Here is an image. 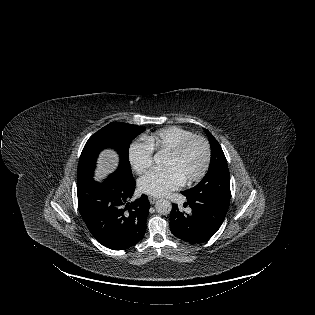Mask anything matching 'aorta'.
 Returning <instances> with one entry per match:
<instances>
[{
	"label": "aorta",
	"mask_w": 315,
	"mask_h": 315,
	"mask_svg": "<svg viewBox=\"0 0 315 315\" xmlns=\"http://www.w3.org/2000/svg\"><path fill=\"white\" fill-rule=\"evenodd\" d=\"M155 160L158 161L159 154H156L154 156ZM156 211L162 215L169 214L172 210V205L169 200L166 199H160L155 204Z\"/></svg>",
	"instance_id": "aorta-1"
}]
</instances>
